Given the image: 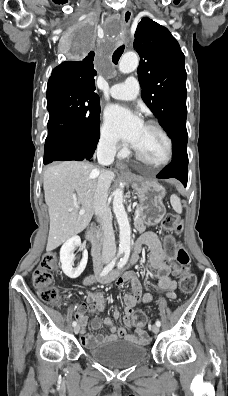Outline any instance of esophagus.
<instances>
[{"label": "esophagus", "instance_id": "obj_1", "mask_svg": "<svg viewBox=\"0 0 228 396\" xmlns=\"http://www.w3.org/2000/svg\"><path fill=\"white\" fill-rule=\"evenodd\" d=\"M133 13L130 9H124L122 12V18L124 21V28H123V34L126 35L127 34V28L131 22ZM116 167L120 170L126 171L127 173H130L128 170V167L125 163L121 162V161H117L116 162Z\"/></svg>", "mask_w": 228, "mask_h": 396}]
</instances>
